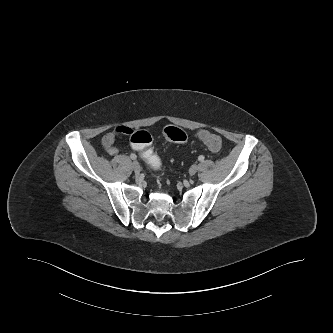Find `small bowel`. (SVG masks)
Returning <instances> with one entry per match:
<instances>
[{
    "instance_id": "small-bowel-1",
    "label": "small bowel",
    "mask_w": 333,
    "mask_h": 333,
    "mask_svg": "<svg viewBox=\"0 0 333 333\" xmlns=\"http://www.w3.org/2000/svg\"><path fill=\"white\" fill-rule=\"evenodd\" d=\"M117 137L133 140L136 137V132L130 127H118L114 131L105 134L101 144L105 152L110 156H116L119 149L114 145Z\"/></svg>"
}]
</instances>
